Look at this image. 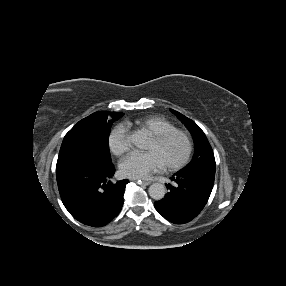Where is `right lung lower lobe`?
I'll return each mask as SVG.
<instances>
[{"mask_svg": "<svg viewBox=\"0 0 286 286\" xmlns=\"http://www.w3.org/2000/svg\"><path fill=\"white\" fill-rule=\"evenodd\" d=\"M112 163L76 162L58 168L57 183L68 212L83 224L100 227L118 215L128 180L112 182Z\"/></svg>", "mask_w": 286, "mask_h": 286, "instance_id": "1", "label": "right lung lower lobe"}]
</instances>
